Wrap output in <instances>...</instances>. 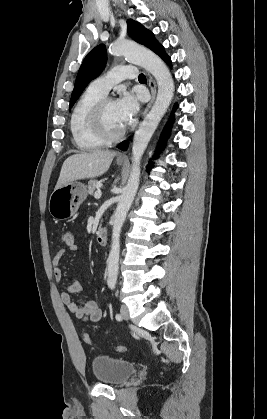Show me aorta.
<instances>
[{
    "label": "aorta",
    "mask_w": 267,
    "mask_h": 419,
    "mask_svg": "<svg viewBox=\"0 0 267 419\" xmlns=\"http://www.w3.org/2000/svg\"><path fill=\"white\" fill-rule=\"evenodd\" d=\"M109 52L115 56H123L129 62L142 66L150 72L158 85L156 100L135 132L132 146V166L128 182L120 196L114 214L111 250L108 257V287L114 288L118 277L120 233L127 213L133 203L140 181V163L144 151L154 134L160 120L166 113L173 95L174 82L165 63L152 51L130 41L113 43Z\"/></svg>",
    "instance_id": "1"
}]
</instances>
